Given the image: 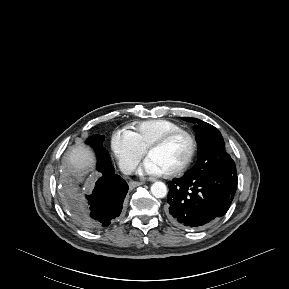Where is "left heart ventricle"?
Segmentation results:
<instances>
[{
	"mask_svg": "<svg viewBox=\"0 0 289 289\" xmlns=\"http://www.w3.org/2000/svg\"><path fill=\"white\" fill-rule=\"evenodd\" d=\"M190 150L191 143L188 137L179 136L164 147L153 151L148 158L151 159L163 173H167L183 164Z\"/></svg>",
	"mask_w": 289,
	"mask_h": 289,
	"instance_id": "1",
	"label": "left heart ventricle"
}]
</instances>
